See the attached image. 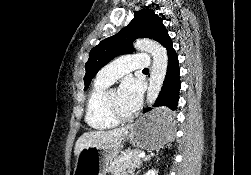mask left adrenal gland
<instances>
[{
	"label": "left adrenal gland",
	"mask_w": 251,
	"mask_h": 175,
	"mask_svg": "<svg viewBox=\"0 0 251 175\" xmlns=\"http://www.w3.org/2000/svg\"><path fill=\"white\" fill-rule=\"evenodd\" d=\"M138 171H141V169H138ZM138 171H137V173H138Z\"/></svg>",
	"instance_id": "left-adrenal-gland-1"
}]
</instances>
